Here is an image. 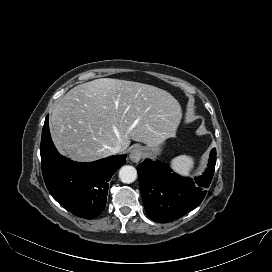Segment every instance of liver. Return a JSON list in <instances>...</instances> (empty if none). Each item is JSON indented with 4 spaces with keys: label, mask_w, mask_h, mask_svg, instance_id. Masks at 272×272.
Returning a JSON list of instances; mask_svg holds the SVG:
<instances>
[{
    "label": "liver",
    "mask_w": 272,
    "mask_h": 272,
    "mask_svg": "<svg viewBox=\"0 0 272 272\" xmlns=\"http://www.w3.org/2000/svg\"><path fill=\"white\" fill-rule=\"evenodd\" d=\"M182 118L179 102L167 91L139 82L101 78L69 90L50 116L52 139L79 162L110 156L109 148L130 139L155 147L172 138Z\"/></svg>",
    "instance_id": "liver-1"
}]
</instances>
